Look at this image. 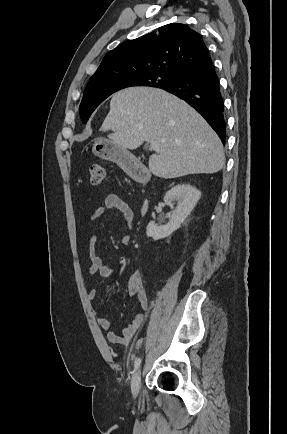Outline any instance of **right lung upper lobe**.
Masks as SVG:
<instances>
[{
    "mask_svg": "<svg viewBox=\"0 0 287 434\" xmlns=\"http://www.w3.org/2000/svg\"><path fill=\"white\" fill-rule=\"evenodd\" d=\"M208 56L199 33L185 24L170 23L108 52L89 82L147 73L177 76Z\"/></svg>",
    "mask_w": 287,
    "mask_h": 434,
    "instance_id": "right-lung-upper-lobe-1",
    "label": "right lung upper lobe"
}]
</instances>
